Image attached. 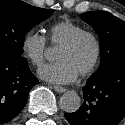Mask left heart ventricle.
Listing matches in <instances>:
<instances>
[{"label": "left heart ventricle", "mask_w": 125, "mask_h": 125, "mask_svg": "<svg viewBox=\"0 0 125 125\" xmlns=\"http://www.w3.org/2000/svg\"><path fill=\"white\" fill-rule=\"evenodd\" d=\"M95 53L94 42L90 37H83L69 49L58 48L56 59L68 62L80 74L92 61Z\"/></svg>", "instance_id": "left-heart-ventricle-1"}]
</instances>
